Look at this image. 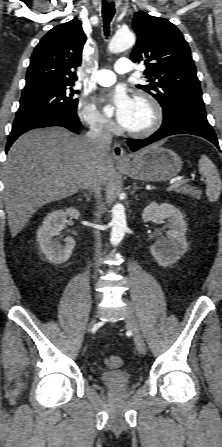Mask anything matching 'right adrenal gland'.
<instances>
[{
    "label": "right adrenal gland",
    "instance_id": "1",
    "mask_svg": "<svg viewBox=\"0 0 222 447\" xmlns=\"http://www.w3.org/2000/svg\"><path fill=\"white\" fill-rule=\"evenodd\" d=\"M85 197L87 201H90V196L87 193H85Z\"/></svg>",
    "mask_w": 222,
    "mask_h": 447
}]
</instances>
